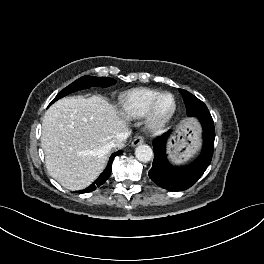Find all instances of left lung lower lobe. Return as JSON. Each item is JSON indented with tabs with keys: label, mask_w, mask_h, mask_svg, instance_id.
<instances>
[{
	"label": "left lung lower lobe",
	"mask_w": 264,
	"mask_h": 264,
	"mask_svg": "<svg viewBox=\"0 0 264 264\" xmlns=\"http://www.w3.org/2000/svg\"><path fill=\"white\" fill-rule=\"evenodd\" d=\"M203 126L204 145L201 155L187 167H175L166 158V141L169 132L153 141L154 160L148 175L158 186L170 191H183L194 185L211 163L214 148L215 130L210 113L196 116Z\"/></svg>",
	"instance_id": "obj_1"
}]
</instances>
